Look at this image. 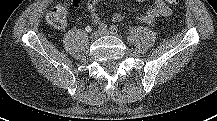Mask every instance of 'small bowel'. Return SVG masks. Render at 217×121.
Returning a JSON list of instances; mask_svg holds the SVG:
<instances>
[{"label": "small bowel", "instance_id": "small-bowel-1", "mask_svg": "<svg viewBox=\"0 0 217 121\" xmlns=\"http://www.w3.org/2000/svg\"><path fill=\"white\" fill-rule=\"evenodd\" d=\"M99 0H88L86 3V8L90 14L91 20L93 24L99 25L101 23V19L97 14V5ZM138 2H142L144 0H136ZM78 0H72V5L77 6ZM171 14L170 8L164 3L163 0H155V3L151 9H149L146 13L137 17L138 21L145 24H152L159 17H166ZM112 19L116 22H119L123 19L122 14L115 13Z\"/></svg>", "mask_w": 217, "mask_h": 121}]
</instances>
